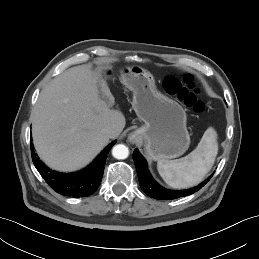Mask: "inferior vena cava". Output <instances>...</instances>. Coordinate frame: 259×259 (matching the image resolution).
Here are the masks:
<instances>
[{
  "label": "inferior vena cava",
  "mask_w": 259,
  "mask_h": 259,
  "mask_svg": "<svg viewBox=\"0 0 259 259\" xmlns=\"http://www.w3.org/2000/svg\"><path fill=\"white\" fill-rule=\"evenodd\" d=\"M104 133L109 137V138H114L117 135V131L113 127H106L104 128Z\"/></svg>",
  "instance_id": "602c4592"
}]
</instances>
